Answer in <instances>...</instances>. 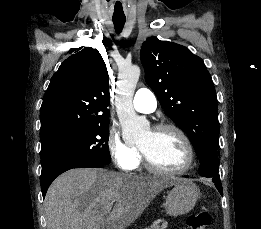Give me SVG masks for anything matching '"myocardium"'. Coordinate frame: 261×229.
<instances>
[{
    "label": "myocardium",
    "mask_w": 261,
    "mask_h": 229,
    "mask_svg": "<svg viewBox=\"0 0 261 229\" xmlns=\"http://www.w3.org/2000/svg\"><path fill=\"white\" fill-rule=\"evenodd\" d=\"M164 130H170V131L175 132L182 140L185 150H186V161H185L184 165L180 169H177V170L162 169V168L158 167L157 165H155L151 161V159L147 156V154L144 152V150L139 146V150H140L141 156L143 158L144 164L149 171H151L152 173L158 174V175H163V176L182 175L191 168L193 161H194V149H193L192 143H191L190 139L188 138V136L186 135V133L181 128H179L178 126L173 125V124L162 123V124L156 125L151 129V132L158 133V132H161Z\"/></svg>",
    "instance_id": "myocardium-1"
}]
</instances>
